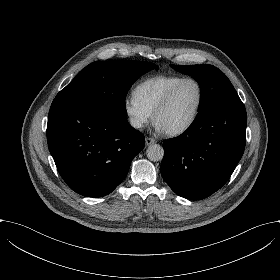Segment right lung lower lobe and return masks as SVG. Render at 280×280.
<instances>
[{
    "label": "right lung lower lobe",
    "mask_w": 280,
    "mask_h": 280,
    "mask_svg": "<svg viewBox=\"0 0 280 280\" xmlns=\"http://www.w3.org/2000/svg\"><path fill=\"white\" fill-rule=\"evenodd\" d=\"M47 141L63 180L86 197L110 194L144 147L143 134L127 119L66 100L51 105Z\"/></svg>",
    "instance_id": "1"
}]
</instances>
